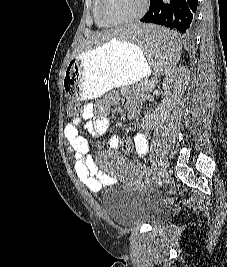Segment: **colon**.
<instances>
[{
  "label": "colon",
  "mask_w": 227,
  "mask_h": 267,
  "mask_svg": "<svg viewBox=\"0 0 227 267\" xmlns=\"http://www.w3.org/2000/svg\"><path fill=\"white\" fill-rule=\"evenodd\" d=\"M80 109H81L80 105H77L76 102H72L70 105L67 106V111H65V116H77L76 110Z\"/></svg>",
  "instance_id": "1"
}]
</instances>
